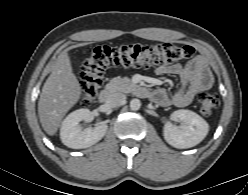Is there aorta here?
Masks as SVG:
<instances>
[{"label": "aorta", "mask_w": 248, "mask_h": 195, "mask_svg": "<svg viewBox=\"0 0 248 195\" xmlns=\"http://www.w3.org/2000/svg\"><path fill=\"white\" fill-rule=\"evenodd\" d=\"M140 107H141V102H140L139 99L134 98V99H132V100L130 101V108H131V110L137 111V110L140 109Z\"/></svg>", "instance_id": "aorta-1"}]
</instances>
